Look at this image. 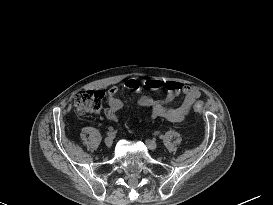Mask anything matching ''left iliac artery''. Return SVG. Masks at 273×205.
<instances>
[{"label": "left iliac artery", "instance_id": "left-iliac-artery-1", "mask_svg": "<svg viewBox=\"0 0 273 205\" xmlns=\"http://www.w3.org/2000/svg\"><path fill=\"white\" fill-rule=\"evenodd\" d=\"M163 137H164L163 135H160V136H159L160 139H163Z\"/></svg>", "mask_w": 273, "mask_h": 205}]
</instances>
